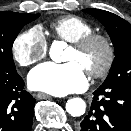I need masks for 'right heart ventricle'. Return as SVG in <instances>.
<instances>
[{
  "mask_svg": "<svg viewBox=\"0 0 131 131\" xmlns=\"http://www.w3.org/2000/svg\"><path fill=\"white\" fill-rule=\"evenodd\" d=\"M50 29L56 38L69 43L93 33V26L85 19L78 16H63L50 24Z\"/></svg>",
  "mask_w": 131,
  "mask_h": 131,
  "instance_id": "1",
  "label": "right heart ventricle"
}]
</instances>
